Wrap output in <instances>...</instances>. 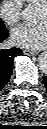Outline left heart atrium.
Returning a JSON list of instances; mask_svg holds the SVG:
<instances>
[{
  "label": "left heart atrium",
  "instance_id": "39dd6f15",
  "mask_svg": "<svg viewBox=\"0 0 47 129\" xmlns=\"http://www.w3.org/2000/svg\"><path fill=\"white\" fill-rule=\"evenodd\" d=\"M12 41L20 47L40 49L46 45L47 25L45 21L26 23L12 32Z\"/></svg>",
  "mask_w": 47,
  "mask_h": 129
}]
</instances>
